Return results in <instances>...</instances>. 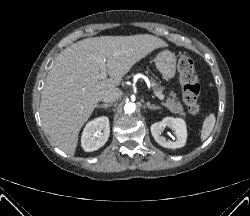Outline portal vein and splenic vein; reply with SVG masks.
<instances>
[{
  "instance_id": "18ae733b",
  "label": "portal vein and splenic vein",
  "mask_w": 250,
  "mask_h": 216,
  "mask_svg": "<svg viewBox=\"0 0 250 216\" xmlns=\"http://www.w3.org/2000/svg\"><path fill=\"white\" fill-rule=\"evenodd\" d=\"M105 62L106 60L105 59H100L99 60V64H100V67H101V72L99 73L98 75V78L99 79H105L107 77V72H106V69H105ZM155 96L158 97L160 100H163L164 99V95L155 91L154 92Z\"/></svg>"
}]
</instances>
